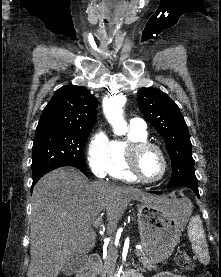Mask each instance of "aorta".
<instances>
[{"label":"aorta","instance_id":"aorta-1","mask_svg":"<svg viewBox=\"0 0 221 277\" xmlns=\"http://www.w3.org/2000/svg\"><path fill=\"white\" fill-rule=\"evenodd\" d=\"M125 101L121 96H113L104 106V113L114 132L118 135L125 134L128 130L127 123L122 116V106Z\"/></svg>","mask_w":221,"mask_h":277}]
</instances>
